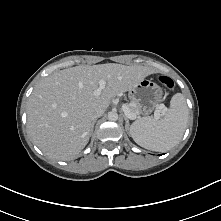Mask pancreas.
<instances>
[{
    "mask_svg": "<svg viewBox=\"0 0 221 221\" xmlns=\"http://www.w3.org/2000/svg\"><path fill=\"white\" fill-rule=\"evenodd\" d=\"M128 108L130 109V111L136 115H139L140 114V110L138 109L137 107V104L136 103H133L131 101V103L127 104Z\"/></svg>",
    "mask_w": 221,
    "mask_h": 221,
    "instance_id": "obj_1",
    "label": "pancreas"
}]
</instances>
